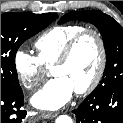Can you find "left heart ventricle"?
Here are the masks:
<instances>
[{"label":"left heart ventricle","mask_w":123,"mask_h":123,"mask_svg":"<svg viewBox=\"0 0 123 123\" xmlns=\"http://www.w3.org/2000/svg\"><path fill=\"white\" fill-rule=\"evenodd\" d=\"M99 62L98 44L94 37H84L68 63L52 69L55 77L66 78L74 90L86 86L96 72Z\"/></svg>","instance_id":"left-heart-ventricle-1"}]
</instances>
